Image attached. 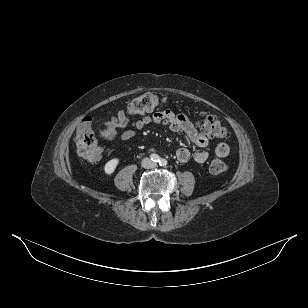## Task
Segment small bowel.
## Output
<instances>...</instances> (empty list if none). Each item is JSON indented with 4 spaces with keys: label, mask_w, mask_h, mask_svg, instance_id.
Instances as JSON below:
<instances>
[{
    "label": "small bowel",
    "mask_w": 308,
    "mask_h": 308,
    "mask_svg": "<svg viewBox=\"0 0 308 308\" xmlns=\"http://www.w3.org/2000/svg\"><path fill=\"white\" fill-rule=\"evenodd\" d=\"M151 123L167 126L177 134H185L198 148H205L209 143L206 135L198 131L186 115L175 114L170 110L158 111L132 120L120 110L105 122V126L115 128L117 133L121 130L120 139L129 140L134 138L139 130ZM215 153L217 156L226 157L229 153L228 145L223 142L218 143L215 147ZM190 156L191 153L187 148H180L176 152V157L180 162L188 161ZM193 158L198 163H204L208 159V153L205 150H197L193 153Z\"/></svg>",
    "instance_id": "obj_1"
}]
</instances>
